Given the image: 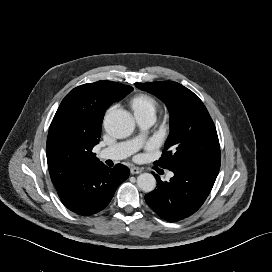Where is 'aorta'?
Masks as SVG:
<instances>
[{
  "mask_svg": "<svg viewBox=\"0 0 272 272\" xmlns=\"http://www.w3.org/2000/svg\"><path fill=\"white\" fill-rule=\"evenodd\" d=\"M105 131L114 138H126L132 134L135 128L133 118L123 110H113L104 118ZM137 186L144 192H152L156 187V179L150 173L140 174L137 178Z\"/></svg>",
  "mask_w": 272,
  "mask_h": 272,
  "instance_id": "aorta-1",
  "label": "aorta"
}]
</instances>
